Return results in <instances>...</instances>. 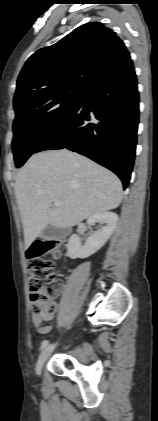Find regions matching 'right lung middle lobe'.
Here are the masks:
<instances>
[{
    "instance_id": "1",
    "label": "right lung middle lobe",
    "mask_w": 158,
    "mask_h": 421,
    "mask_svg": "<svg viewBox=\"0 0 158 421\" xmlns=\"http://www.w3.org/2000/svg\"><path fill=\"white\" fill-rule=\"evenodd\" d=\"M84 86L60 87L30 95L16 104L12 149L21 167L79 101Z\"/></svg>"
}]
</instances>
